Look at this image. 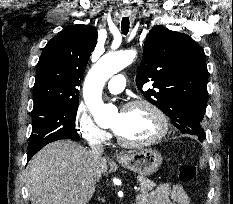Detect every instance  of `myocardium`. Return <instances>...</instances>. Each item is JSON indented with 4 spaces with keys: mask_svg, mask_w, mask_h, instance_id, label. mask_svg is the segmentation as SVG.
Masks as SVG:
<instances>
[{
    "mask_svg": "<svg viewBox=\"0 0 233 204\" xmlns=\"http://www.w3.org/2000/svg\"><path fill=\"white\" fill-rule=\"evenodd\" d=\"M138 106H144L148 108L159 120L160 123V129L159 131L152 136L151 138L143 141H130L127 140L123 137H121L117 132L114 131L115 137L118 140V142L126 147H131V148H142V147H148L151 145L156 144L160 140H162L168 133L169 131V120L166 114L162 111L161 108H159L155 103H153L150 100L144 99V98H138V99H133L129 102H127L123 106V110L131 109L134 107Z\"/></svg>",
    "mask_w": 233,
    "mask_h": 204,
    "instance_id": "1",
    "label": "myocardium"
}]
</instances>
